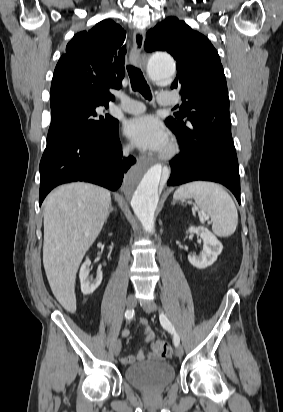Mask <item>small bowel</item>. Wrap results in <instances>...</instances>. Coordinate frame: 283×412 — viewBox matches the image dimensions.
<instances>
[{
	"label": "small bowel",
	"instance_id": "obj_1",
	"mask_svg": "<svg viewBox=\"0 0 283 412\" xmlns=\"http://www.w3.org/2000/svg\"><path fill=\"white\" fill-rule=\"evenodd\" d=\"M139 324L143 327V333L145 336V342H151L154 339V333L151 330V328L148 325V321L145 318H141L139 320ZM129 334V330H125L124 331V335H128ZM146 358V353L144 351V349H140L138 350V352L136 354H131V355H127L122 357L121 361L123 364H133L136 362H141L143 360H145Z\"/></svg>",
	"mask_w": 283,
	"mask_h": 412
}]
</instances>
